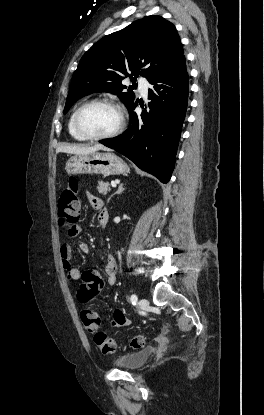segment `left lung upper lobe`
Here are the masks:
<instances>
[{"label": "left lung upper lobe", "instance_id": "obj_1", "mask_svg": "<svg viewBox=\"0 0 264 415\" xmlns=\"http://www.w3.org/2000/svg\"><path fill=\"white\" fill-rule=\"evenodd\" d=\"M183 53L175 26L161 16H147L105 36L81 58L64 113L78 99L93 92L116 94L128 109L135 103V95L123 92L126 86L121 81L130 76L135 82L139 75L149 81L176 63Z\"/></svg>", "mask_w": 264, "mask_h": 415}]
</instances>
